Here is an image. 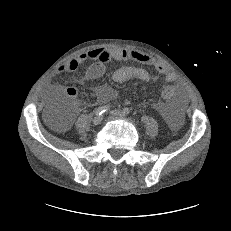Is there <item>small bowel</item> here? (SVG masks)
Wrapping results in <instances>:
<instances>
[{
    "label": "small bowel",
    "instance_id": "obj_1",
    "mask_svg": "<svg viewBox=\"0 0 231 231\" xmlns=\"http://www.w3.org/2000/svg\"><path fill=\"white\" fill-rule=\"evenodd\" d=\"M88 60L93 61V63L87 68L83 77L79 79V83L81 84H86L90 81L100 78L106 72V64L110 60L134 61L142 65L152 66L156 71V74L152 75L143 67H120L113 71L111 75L112 80L117 83H126L132 80L148 83L156 81L160 75H165L167 82H174L177 79L174 74L169 72L166 65L157 62L152 56L134 50L127 51L119 48H97L82 53L77 58L71 59L59 66L57 73L76 71L82 63ZM56 89H62V87L57 86ZM69 91H72L74 95L69 96ZM64 92L70 98H74L77 94V91L74 87H67L64 89ZM96 93L97 100L100 103L112 101L117 97V92L106 85L97 88ZM156 108L172 127H177L179 118L177 106L175 103H158ZM68 122L69 120L65 122L64 127L67 126Z\"/></svg>",
    "mask_w": 231,
    "mask_h": 231
}]
</instances>
